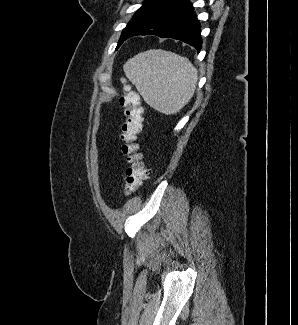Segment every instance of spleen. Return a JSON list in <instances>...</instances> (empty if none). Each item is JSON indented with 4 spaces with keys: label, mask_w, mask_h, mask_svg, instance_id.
Here are the masks:
<instances>
[{
    "label": "spleen",
    "mask_w": 298,
    "mask_h": 325,
    "mask_svg": "<svg viewBox=\"0 0 298 325\" xmlns=\"http://www.w3.org/2000/svg\"><path fill=\"white\" fill-rule=\"evenodd\" d=\"M123 70L145 102L164 114L179 112L192 98L198 80L189 58L162 48L138 52Z\"/></svg>",
    "instance_id": "obj_1"
}]
</instances>
